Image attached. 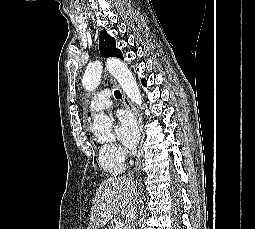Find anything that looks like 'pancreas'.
<instances>
[{
  "label": "pancreas",
  "instance_id": "pancreas-1",
  "mask_svg": "<svg viewBox=\"0 0 255 229\" xmlns=\"http://www.w3.org/2000/svg\"><path fill=\"white\" fill-rule=\"evenodd\" d=\"M108 229H115V225L111 224Z\"/></svg>",
  "mask_w": 255,
  "mask_h": 229
}]
</instances>
